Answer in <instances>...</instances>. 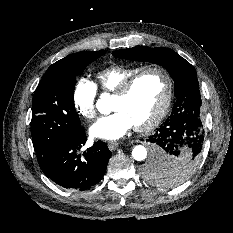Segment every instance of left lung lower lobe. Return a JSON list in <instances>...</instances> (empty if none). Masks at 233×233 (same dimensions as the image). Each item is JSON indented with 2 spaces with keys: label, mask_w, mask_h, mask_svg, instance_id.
<instances>
[{
  "label": "left lung lower lobe",
  "mask_w": 233,
  "mask_h": 233,
  "mask_svg": "<svg viewBox=\"0 0 233 233\" xmlns=\"http://www.w3.org/2000/svg\"><path fill=\"white\" fill-rule=\"evenodd\" d=\"M153 154L145 170L164 164L169 159L184 156L201 157L204 142V130L200 119L191 116L175 117L165 123L151 135ZM144 170V171H145ZM171 184L169 181H158Z\"/></svg>",
  "instance_id": "1"
}]
</instances>
